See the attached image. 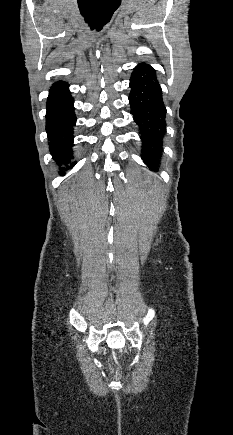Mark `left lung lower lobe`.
Returning a JSON list of instances; mask_svg holds the SVG:
<instances>
[{
  "label": "left lung lower lobe",
  "mask_w": 233,
  "mask_h": 435,
  "mask_svg": "<svg viewBox=\"0 0 233 435\" xmlns=\"http://www.w3.org/2000/svg\"><path fill=\"white\" fill-rule=\"evenodd\" d=\"M129 102L131 114L139 126L142 139L141 158L151 169H156L165 134L166 108L155 70L145 64L138 65L130 79Z\"/></svg>",
  "instance_id": "obj_1"
}]
</instances>
